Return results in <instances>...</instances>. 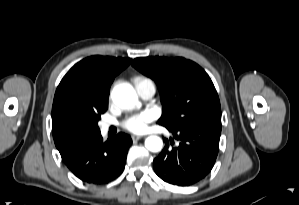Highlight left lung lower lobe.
I'll return each instance as SVG.
<instances>
[{
    "label": "left lung lower lobe",
    "instance_id": "1",
    "mask_svg": "<svg viewBox=\"0 0 299 205\" xmlns=\"http://www.w3.org/2000/svg\"><path fill=\"white\" fill-rule=\"evenodd\" d=\"M167 129L180 144L168 149L166 141L165 148L154 159L155 173L165 182L179 186L203 179L213 168L218 154L221 121Z\"/></svg>",
    "mask_w": 299,
    "mask_h": 205
}]
</instances>
